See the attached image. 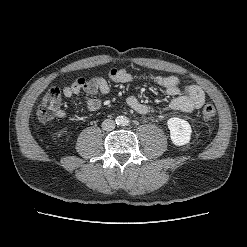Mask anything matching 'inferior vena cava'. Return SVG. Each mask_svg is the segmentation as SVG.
Masks as SVG:
<instances>
[{
    "mask_svg": "<svg viewBox=\"0 0 247 247\" xmlns=\"http://www.w3.org/2000/svg\"><path fill=\"white\" fill-rule=\"evenodd\" d=\"M115 128V122L111 119H105L102 122V129L105 131H111Z\"/></svg>",
    "mask_w": 247,
    "mask_h": 247,
    "instance_id": "602c4592",
    "label": "inferior vena cava"
}]
</instances>
